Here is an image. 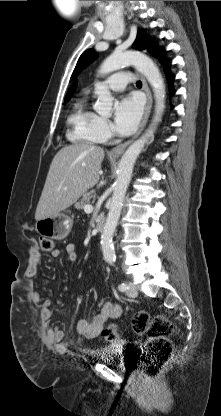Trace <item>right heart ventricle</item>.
I'll return each instance as SVG.
<instances>
[{
  "label": "right heart ventricle",
  "instance_id": "obj_1",
  "mask_svg": "<svg viewBox=\"0 0 221 416\" xmlns=\"http://www.w3.org/2000/svg\"><path fill=\"white\" fill-rule=\"evenodd\" d=\"M98 119L99 116L90 109L85 99L78 101L69 117L72 127L70 138L87 144L102 142L104 139L97 129Z\"/></svg>",
  "mask_w": 221,
  "mask_h": 416
}]
</instances>
